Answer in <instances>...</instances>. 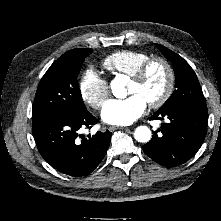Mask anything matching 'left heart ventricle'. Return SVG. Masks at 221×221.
<instances>
[{
    "label": "left heart ventricle",
    "instance_id": "obj_1",
    "mask_svg": "<svg viewBox=\"0 0 221 221\" xmlns=\"http://www.w3.org/2000/svg\"><path fill=\"white\" fill-rule=\"evenodd\" d=\"M166 83L167 73L164 67L159 63H155L150 67L142 82L130 81L128 94H139L148 103L161 96Z\"/></svg>",
    "mask_w": 221,
    "mask_h": 221
}]
</instances>
